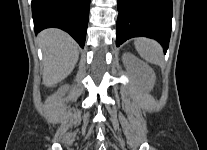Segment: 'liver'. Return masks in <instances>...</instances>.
Here are the masks:
<instances>
[{
    "label": "liver",
    "instance_id": "liver-1",
    "mask_svg": "<svg viewBox=\"0 0 207 150\" xmlns=\"http://www.w3.org/2000/svg\"><path fill=\"white\" fill-rule=\"evenodd\" d=\"M44 55L43 84L51 87L65 79L74 69L79 50L76 42L59 29H46L38 35Z\"/></svg>",
    "mask_w": 207,
    "mask_h": 150
}]
</instances>
